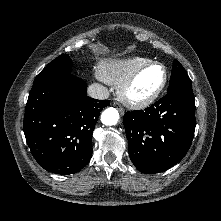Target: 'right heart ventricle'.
<instances>
[{
    "mask_svg": "<svg viewBox=\"0 0 221 221\" xmlns=\"http://www.w3.org/2000/svg\"><path fill=\"white\" fill-rule=\"evenodd\" d=\"M151 62L150 59L133 56L125 59H105L99 65V77L106 83L122 85L134 71Z\"/></svg>",
    "mask_w": 221,
    "mask_h": 221,
    "instance_id": "1",
    "label": "right heart ventricle"
}]
</instances>
